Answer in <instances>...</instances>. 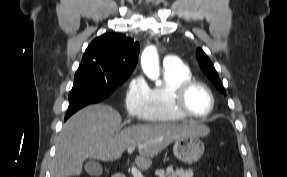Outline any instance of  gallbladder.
I'll return each mask as SVG.
<instances>
[{
  "label": "gallbladder",
  "instance_id": "1",
  "mask_svg": "<svg viewBox=\"0 0 287 177\" xmlns=\"http://www.w3.org/2000/svg\"><path fill=\"white\" fill-rule=\"evenodd\" d=\"M85 171L88 175L99 176L102 174L103 169L96 160L91 159L85 164Z\"/></svg>",
  "mask_w": 287,
  "mask_h": 177
}]
</instances>
